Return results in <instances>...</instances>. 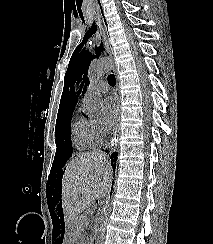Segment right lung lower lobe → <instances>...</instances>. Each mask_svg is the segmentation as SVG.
<instances>
[{
	"label": "right lung lower lobe",
	"mask_w": 213,
	"mask_h": 244,
	"mask_svg": "<svg viewBox=\"0 0 213 244\" xmlns=\"http://www.w3.org/2000/svg\"><path fill=\"white\" fill-rule=\"evenodd\" d=\"M116 158H117V154L116 153H113L111 155V164H112L113 167H115Z\"/></svg>",
	"instance_id": "right-lung-lower-lobe-1"
}]
</instances>
